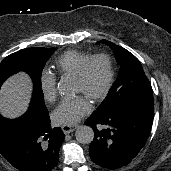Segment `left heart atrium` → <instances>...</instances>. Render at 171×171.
Instances as JSON below:
<instances>
[{
  "mask_svg": "<svg viewBox=\"0 0 171 171\" xmlns=\"http://www.w3.org/2000/svg\"><path fill=\"white\" fill-rule=\"evenodd\" d=\"M90 110L91 105L85 97L66 98L54 110L52 119L57 124L73 125L87 115Z\"/></svg>",
  "mask_w": 171,
  "mask_h": 171,
  "instance_id": "39dd6f15",
  "label": "left heart atrium"
}]
</instances>
